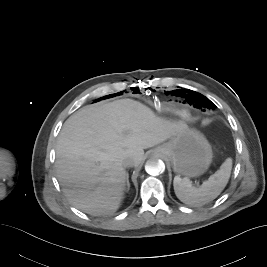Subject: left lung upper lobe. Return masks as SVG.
Returning <instances> with one entry per match:
<instances>
[{"mask_svg":"<svg viewBox=\"0 0 267 267\" xmlns=\"http://www.w3.org/2000/svg\"><path fill=\"white\" fill-rule=\"evenodd\" d=\"M179 96H183L186 97L185 93L178 91L177 92ZM193 93L194 95H190L189 97H187V99L191 102L194 103L195 107L199 108V107H204V108H208V109H212L215 108L216 106L213 104V102H211L208 98H206L205 96L196 93V92H190Z\"/></svg>","mask_w":267,"mask_h":267,"instance_id":"5c2ea615","label":"left lung upper lobe"}]
</instances>
